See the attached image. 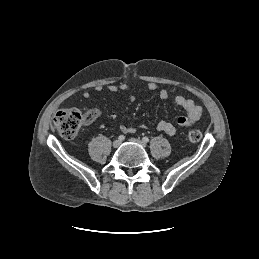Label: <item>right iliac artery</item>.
I'll return each instance as SVG.
<instances>
[{
  "label": "right iliac artery",
  "instance_id": "82829eb1",
  "mask_svg": "<svg viewBox=\"0 0 259 259\" xmlns=\"http://www.w3.org/2000/svg\"><path fill=\"white\" fill-rule=\"evenodd\" d=\"M118 140L124 141V140H125V136H124V135H120V136L118 137Z\"/></svg>",
  "mask_w": 259,
  "mask_h": 259
}]
</instances>
